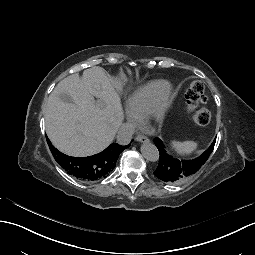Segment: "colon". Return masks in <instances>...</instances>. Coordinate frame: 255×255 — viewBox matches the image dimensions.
<instances>
[{
	"label": "colon",
	"mask_w": 255,
	"mask_h": 255,
	"mask_svg": "<svg viewBox=\"0 0 255 255\" xmlns=\"http://www.w3.org/2000/svg\"><path fill=\"white\" fill-rule=\"evenodd\" d=\"M204 84L199 80H194L190 83L186 90V106L188 112L191 114L194 122L198 125H207L211 119L210 110L202 106L205 102Z\"/></svg>",
	"instance_id": "5ec220e1"
}]
</instances>
